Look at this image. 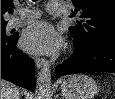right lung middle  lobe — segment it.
I'll list each match as a JSON object with an SVG mask.
<instances>
[{
  "instance_id": "obj_1",
  "label": "right lung middle lobe",
  "mask_w": 115,
  "mask_h": 99,
  "mask_svg": "<svg viewBox=\"0 0 115 99\" xmlns=\"http://www.w3.org/2000/svg\"><path fill=\"white\" fill-rule=\"evenodd\" d=\"M5 27H6V23H1V38L8 37L5 35Z\"/></svg>"
}]
</instances>
